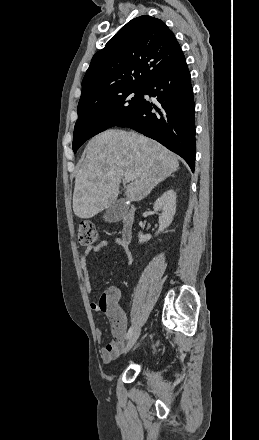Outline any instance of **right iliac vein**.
Listing matches in <instances>:
<instances>
[{"mask_svg": "<svg viewBox=\"0 0 259 440\" xmlns=\"http://www.w3.org/2000/svg\"><path fill=\"white\" fill-rule=\"evenodd\" d=\"M140 332H141V327L136 326L131 337L129 338L128 344L125 348V353H128L130 351V349L133 347V345L135 344V342L139 338Z\"/></svg>", "mask_w": 259, "mask_h": 440, "instance_id": "obj_1", "label": "right iliac vein"}]
</instances>
